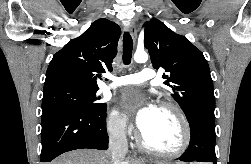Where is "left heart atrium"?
Here are the masks:
<instances>
[{
  "instance_id": "39dd6f15",
  "label": "left heart atrium",
  "mask_w": 251,
  "mask_h": 164,
  "mask_svg": "<svg viewBox=\"0 0 251 164\" xmlns=\"http://www.w3.org/2000/svg\"><path fill=\"white\" fill-rule=\"evenodd\" d=\"M126 103L127 101H124V104ZM155 111L156 107L153 104L147 103L137 113H135L134 121L141 133L145 132L149 127Z\"/></svg>"
}]
</instances>
